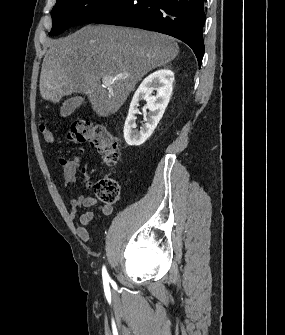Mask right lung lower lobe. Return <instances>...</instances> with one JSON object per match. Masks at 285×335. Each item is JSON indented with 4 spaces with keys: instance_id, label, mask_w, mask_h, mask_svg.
I'll use <instances>...</instances> for the list:
<instances>
[{
    "instance_id": "1",
    "label": "right lung lower lobe",
    "mask_w": 285,
    "mask_h": 335,
    "mask_svg": "<svg viewBox=\"0 0 285 335\" xmlns=\"http://www.w3.org/2000/svg\"><path fill=\"white\" fill-rule=\"evenodd\" d=\"M205 0H120L90 22L138 27L173 36L204 54Z\"/></svg>"
}]
</instances>
